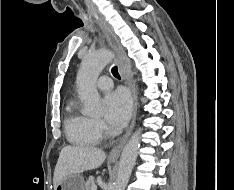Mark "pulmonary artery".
Returning <instances> with one entry per match:
<instances>
[{"instance_id":"pulmonary-artery-1","label":"pulmonary artery","mask_w":234,"mask_h":190,"mask_svg":"<svg viewBox=\"0 0 234 190\" xmlns=\"http://www.w3.org/2000/svg\"><path fill=\"white\" fill-rule=\"evenodd\" d=\"M97 86L101 90H108L112 87V81L108 76H102L98 81H97Z\"/></svg>"}]
</instances>
